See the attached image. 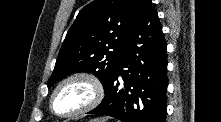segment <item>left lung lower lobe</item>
I'll return each mask as SVG.
<instances>
[{"label":"left lung lower lobe","instance_id":"1","mask_svg":"<svg viewBox=\"0 0 221 122\" xmlns=\"http://www.w3.org/2000/svg\"><path fill=\"white\" fill-rule=\"evenodd\" d=\"M167 45L151 0H141L102 103L88 112L122 122H166ZM118 77L124 81L120 88Z\"/></svg>","mask_w":221,"mask_h":122}]
</instances>
